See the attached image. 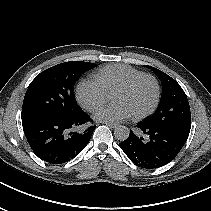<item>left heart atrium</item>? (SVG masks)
<instances>
[{
	"instance_id": "39dd6f15",
	"label": "left heart atrium",
	"mask_w": 211,
	"mask_h": 211,
	"mask_svg": "<svg viewBox=\"0 0 211 211\" xmlns=\"http://www.w3.org/2000/svg\"><path fill=\"white\" fill-rule=\"evenodd\" d=\"M132 112L122 103H113L99 108L94 118L98 121L117 123L132 116Z\"/></svg>"
}]
</instances>
